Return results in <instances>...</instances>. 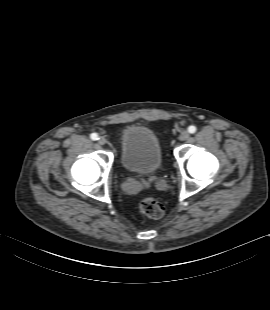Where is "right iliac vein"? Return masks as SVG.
<instances>
[{"instance_id":"obj_1","label":"right iliac vein","mask_w":270,"mask_h":310,"mask_svg":"<svg viewBox=\"0 0 270 310\" xmlns=\"http://www.w3.org/2000/svg\"><path fill=\"white\" fill-rule=\"evenodd\" d=\"M106 142H107V140H106L105 137L102 136V137H99V138H98V143H99L100 145H105Z\"/></svg>"}]
</instances>
